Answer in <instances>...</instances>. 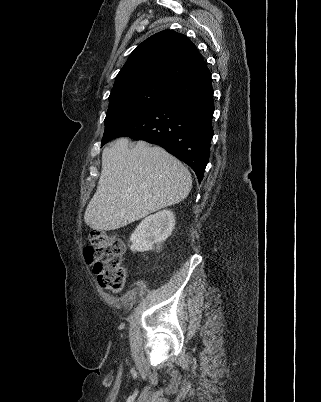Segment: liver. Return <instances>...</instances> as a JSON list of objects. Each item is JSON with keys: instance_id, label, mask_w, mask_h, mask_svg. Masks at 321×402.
<instances>
[{"instance_id": "6515ba94", "label": "liver", "mask_w": 321, "mask_h": 402, "mask_svg": "<svg viewBox=\"0 0 321 402\" xmlns=\"http://www.w3.org/2000/svg\"><path fill=\"white\" fill-rule=\"evenodd\" d=\"M192 188L191 174L159 146L138 141L129 148L118 139L102 152L97 190L84 220L92 229L111 231L184 200Z\"/></svg>"}]
</instances>
